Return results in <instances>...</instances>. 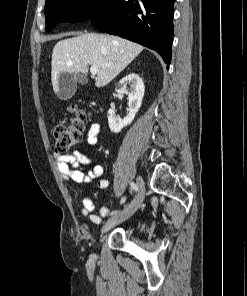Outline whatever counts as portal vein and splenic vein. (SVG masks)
<instances>
[{"label": "portal vein and splenic vein", "mask_w": 247, "mask_h": 296, "mask_svg": "<svg viewBox=\"0 0 247 296\" xmlns=\"http://www.w3.org/2000/svg\"><path fill=\"white\" fill-rule=\"evenodd\" d=\"M97 71H98V67L96 65H92L91 68H90V72L93 75H96L97 74Z\"/></svg>", "instance_id": "1"}]
</instances>
